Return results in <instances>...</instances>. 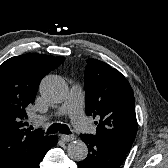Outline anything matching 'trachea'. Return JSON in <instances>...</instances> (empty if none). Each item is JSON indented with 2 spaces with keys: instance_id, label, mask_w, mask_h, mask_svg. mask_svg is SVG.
Wrapping results in <instances>:
<instances>
[{
  "instance_id": "trachea-1",
  "label": "trachea",
  "mask_w": 168,
  "mask_h": 168,
  "mask_svg": "<svg viewBox=\"0 0 168 168\" xmlns=\"http://www.w3.org/2000/svg\"><path fill=\"white\" fill-rule=\"evenodd\" d=\"M60 132L62 134H71L69 127L65 124L54 123L46 131V134H54Z\"/></svg>"
}]
</instances>
